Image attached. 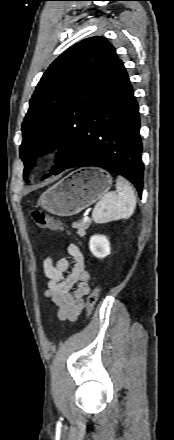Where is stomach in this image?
I'll list each match as a JSON object with an SVG mask.
<instances>
[{
	"label": "stomach",
	"mask_w": 174,
	"mask_h": 440,
	"mask_svg": "<svg viewBox=\"0 0 174 440\" xmlns=\"http://www.w3.org/2000/svg\"><path fill=\"white\" fill-rule=\"evenodd\" d=\"M112 185L111 175L100 168L77 169L48 188L39 205L51 214L73 216L101 199Z\"/></svg>",
	"instance_id": "0dacf381"
}]
</instances>
